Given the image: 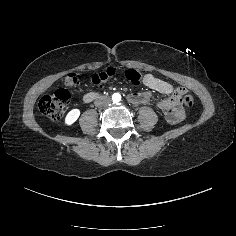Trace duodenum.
Segmentation results:
<instances>
[{"mask_svg":"<svg viewBox=\"0 0 236 236\" xmlns=\"http://www.w3.org/2000/svg\"><path fill=\"white\" fill-rule=\"evenodd\" d=\"M98 95L96 93H88L84 96L85 102H90L95 99ZM129 100L132 103L144 104L150 101V97L147 94L138 93L131 94ZM161 110L164 112L167 119L173 123L179 122L183 118V108L176 95H173L170 99L160 104Z\"/></svg>","mask_w":236,"mask_h":236,"instance_id":"duodenum-1","label":"duodenum"}]
</instances>
